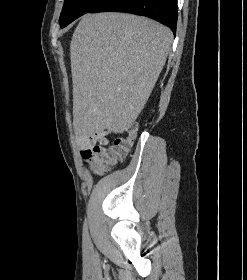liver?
Returning a JSON list of instances; mask_svg holds the SVG:
<instances>
[{
	"instance_id": "1",
	"label": "liver",
	"mask_w": 247,
	"mask_h": 280,
	"mask_svg": "<svg viewBox=\"0 0 247 280\" xmlns=\"http://www.w3.org/2000/svg\"><path fill=\"white\" fill-rule=\"evenodd\" d=\"M171 30L146 17L87 14L70 44L73 120L83 134L123 133L137 119L165 65Z\"/></svg>"
}]
</instances>
